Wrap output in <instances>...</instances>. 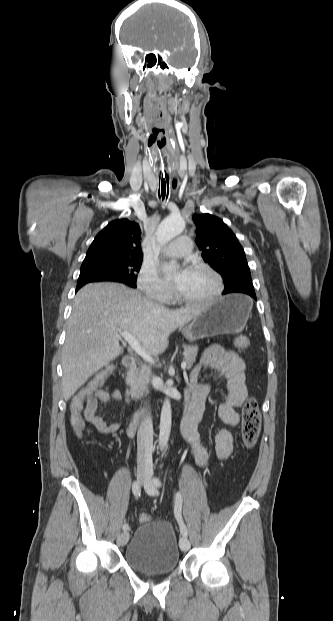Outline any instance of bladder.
I'll return each instance as SVG.
<instances>
[{
  "label": "bladder",
  "mask_w": 333,
  "mask_h": 621,
  "mask_svg": "<svg viewBox=\"0 0 333 621\" xmlns=\"http://www.w3.org/2000/svg\"><path fill=\"white\" fill-rule=\"evenodd\" d=\"M124 558L129 567L141 573L164 575L174 571L180 553L172 524L160 519L142 523L127 544Z\"/></svg>",
  "instance_id": "1"
}]
</instances>
